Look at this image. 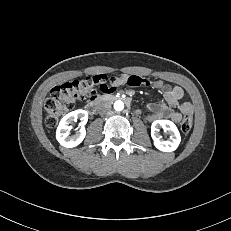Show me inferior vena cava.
Here are the masks:
<instances>
[{
  "mask_svg": "<svg viewBox=\"0 0 231 231\" xmlns=\"http://www.w3.org/2000/svg\"><path fill=\"white\" fill-rule=\"evenodd\" d=\"M97 111L101 115L107 114L111 111V104L108 102H101L97 106Z\"/></svg>",
  "mask_w": 231,
  "mask_h": 231,
  "instance_id": "1",
  "label": "inferior vena cava"
}]
</instances>
